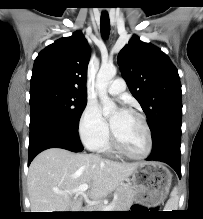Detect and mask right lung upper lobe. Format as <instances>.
Masks as SVG:
<instances>
[{"instance_id":"right-lung-upper-lobe-1","label":"right lung upper lobe","mask_w":203,"mask_h":219,"mask_svg":"<svg viewBox=\"0 0 203 219\" xmlns=\"http://www.w3.org/2000/svg\"><path fill=\"white\" fill-rule=\"evenodd\" d=\"M90 48L81 31L42 50L35 59L31 85L56 84L87 95Z\"/></svg>"}]
</instances>
